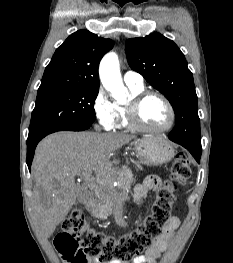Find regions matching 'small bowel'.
I'll return each mask as SVG.
<instances>
[{
    "label": "small bowel",
    "mask_w": 233,
    "mask_h": 263,
    "mask_svg": "<svg viewBox=\"0 0 233 263\" xmlns=\"http://www.w3.org/2000/svg\"><path fill=\"white\" fill-rule=\"evenodd\" d=\"M161 186V181L156 176L147 177L141 184L135 187L134 200L141 201L149 191L158 190ZM180 220L176 216H171L163 227L160 237L155 239L151 246L147 249L144 255L136 257L127 263H156L158 258L168 249V244L173 237L175 230L178 228ZM92 263H104L99 259H94ZM107 263H121L118 260H111Z\"/></svg>",
    "instance_id": "1"
}]
</instances>
